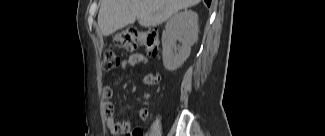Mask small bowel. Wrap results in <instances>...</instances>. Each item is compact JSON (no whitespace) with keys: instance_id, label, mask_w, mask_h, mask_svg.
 I'll return each mask as SVG.
<instances>
[{"instance_id":"small-bowel-1","label":"small bowel","mask_w":325,"mask_h":136,"mask_svg":"<svg viewBox=\"0 0 325 136\" xmlns=\"http://www.w3.org/2000/svg\"><path fill=\"white\" fill-rule=\"evenodd\" d=\"M147 61L148 60L145 55L141 53H134L131 56H129L127 59L122 60L119 68L116 71L112 72L111 76L116 77L132 69L140 68L146 65ZM160 81H161V76L157 72H150L145 74L144 76V82L150 86L158 85ZM103 92L107 98H111L113 95V91L110 87H106ZM105 113L107 116V127L111 134L121 135V134H126L132 130L131 123L129 121L117 122L115 120V116H116L115 107L112 103L105 104ZM138 115L141 119H146L148 116V110L145 107H141L138 109ZM141 134L139 136H141Z\"/></svg>"}]
</instances>
